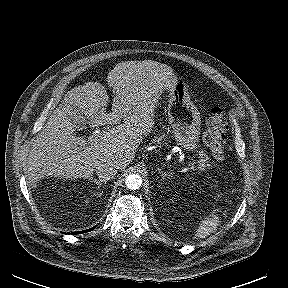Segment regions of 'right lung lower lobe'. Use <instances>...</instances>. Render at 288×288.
<instances>
[{"mask_svg":"<svg viewBox=\"0 0 288 288\" xmlns=\"http://www.w3.org/2000/svg\"><path fill=\"white\" fill-rule=\"evenodd\" d=\"M95 227L91 228V229H87L85 231H80V232H77V233H85V232H89V231H92Z\"/></svg>","mask_w":288,"mask_h":288,"instance_id":"obj_1","label":"right lung lower lobe"}]
</instances>
